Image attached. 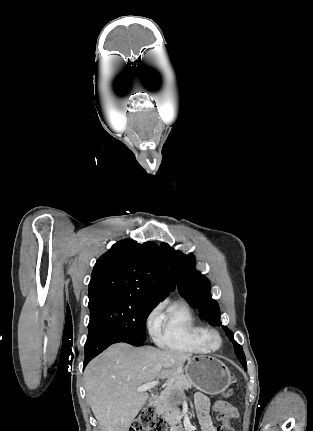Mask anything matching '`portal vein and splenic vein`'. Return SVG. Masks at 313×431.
Instances as JSON below:
<instances>
[{"label":"portal vein and splenic vein","mask_w":313,"mask_h":431,"mask_svg":"<svg viewBox=\"0 0 313 431\" xmlns=\"http://www.w3.org/2000/svg\"><path fill=\"white\" fill-rule=\"evenodd\" d=\"M157 384H158L157 381L145 383L137 389V392H146L147 390H150V389H153L154 387H156Z\"/></svg>","instance_id":"obj_1"}]
</instances>
